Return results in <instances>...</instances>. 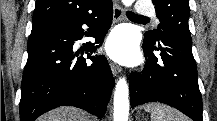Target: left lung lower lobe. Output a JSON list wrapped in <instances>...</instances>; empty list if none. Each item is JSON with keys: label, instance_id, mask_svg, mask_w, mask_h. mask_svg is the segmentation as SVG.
Wrapping results in <instances>:
<instances>
[{"label": "left lung lower lobe", "instance_id": "1", "mask_svg": "<svg viewBox=\"0 0 217 121\" xmlns=\"http://www.w3.org/2000/svg\"><path fill=\"white\" fill-rule=\"evenodd\" d=\"M147 62L142 72L130 76L131 107L148 102L168 104L194 121H203L202 98L191 43L172 33L157 42L144 38ZM153 50L160 51L155 56Z\"/></svg>", "mask_w": 217, "mask_h": 121}]
</instances>
